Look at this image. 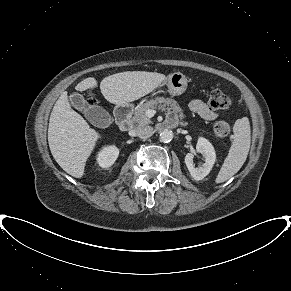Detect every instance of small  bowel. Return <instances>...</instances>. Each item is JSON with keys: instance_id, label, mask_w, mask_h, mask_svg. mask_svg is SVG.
<instances>
[{"instance_id": "obj_1", "label": "small bowel", "mask_w": 291, "mask_h": 291, "mask_svg": "<svg viewBox=\"0 0 291 291\" xmlns=\"http://www.w3.org/2000/svg\"><path fill=\"white\" fill-rule=\"evenodd\" d=\"M189 108L192 112L205 120L212 121L217 118V113L200 99L192 100L189 104Z\"/></svg>"}]
</instances>
